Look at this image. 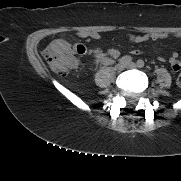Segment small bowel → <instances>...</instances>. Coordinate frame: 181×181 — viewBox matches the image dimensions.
<instances>
[{
	"label": "small bowel",
	"instance_id": "1",
	"mask_svg": "<svg viewBox=\"0 0 181 181\" xmlns=\"http://www.w3.org/2000/svg\"><path fill=\"white\" fill-rule=\"evenodd\" d=\"M79 36L81 38H92L94 40H99L101 38L100 34L97 32H81L79 33ZM174 37V38H181V32L168 34L164 32H155L150 34H142V35H129V39L134 43H144L150 40H161L166 39L168 37ZM53 46L59 47V48H69L70 45L62 38H58L53 41ZM134 54H140V50H134ZM109 57L116 58L119 56V51L115 49H109L106 54ZM160 60H163L160 58ZM169 62L171 65V68L173 71L178 72L181 70V59L179 58L178 53H173L172 56L169 58Z\"/></svg>",
	"mask_w": 181,
	"mask_h": 181
}]
</instances>
